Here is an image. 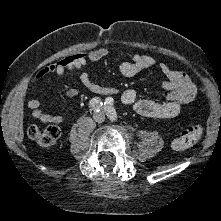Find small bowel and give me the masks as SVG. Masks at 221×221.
Listing matches in <instances>:
<instances>
[{
	"instance_id": "1",
	"label": "small bowel",
	"mask_w": 221,
	"mask_h": 221,
	"mask_svg": "<svg viewBox=\"0 0 221 221\" xmlns=\"http://www.w3.org/2000/svg\"><path fill=\"white\" fill-rule=\"evenodd\" d=\"M108 53L106 48L93 49L87 52H78L64 57L54 64L44 67L38 72L33 80L36 88L42 79L51 74H64L67 71L77 70L84 67L88 61L103 59ZM155 65V60L147 54H132L129 61L122 62L118 71L125 77H133L142 70ZM160 72L165 76L162 87L167 91L164 102H156L148 99H140L137 93L132 90H125L122 93L112 87H106L94 82L86 71L80 75L81 83L92 93L99 95H118L121 101L131 107L136 113L155 118H170L176 116L182 107L193 101L197 95L196 84L184 72L171 68L166 63L159 64ZM78 91L71 88L67 91L69 97H74ZM27 106L32 111L33 117L50 124H59L65 120L63 115H52L39 109L40 102L37 99L27 101Z\"/></svg>"
}]
</instances>
